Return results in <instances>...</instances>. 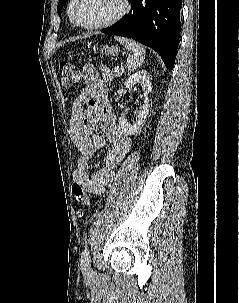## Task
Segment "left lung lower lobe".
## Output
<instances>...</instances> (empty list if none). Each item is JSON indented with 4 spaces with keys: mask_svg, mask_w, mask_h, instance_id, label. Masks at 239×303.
I'll return each instance as SVG.
<instances>
[{
    "mask_svg": "<svg viewBox=\"0 0 239 303\" xmlns=\"http://www.w3.org/2000/svg\"><path fill=\"white\" fill-rule=\"evenodd\" d=\"M128 16L101 32L132 38L152 49L173 69L180 36L182 0H131Z\"/></svg>",
    "mask_w": 239,
    "mask_h": 303,
    "instance_id": "0a47b994",
    "label": "left lung lower lobe"
}]
</instances>
